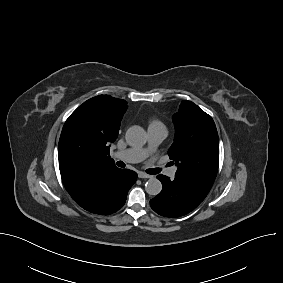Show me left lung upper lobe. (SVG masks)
I'll use <instances>...</instances> for the list:
<instances>
[{
    "label": "left lung upper lobe",
    "instance_id": "1",
    "mask_svg": "<svg viewBox=\"0 0 283 283\" xmlns=\"http://www.w3.org/2000/svg\"><path fill=\"white\" fill-rule=\"evenodd\" d=\"M176 133L168 155L177 165L175 177L207 196L217 175L219 138L215 123L191 101L173 115Z\"/></svg>",
    "mask_w": 283,
    "mask_h": 283
}]
</instances>
